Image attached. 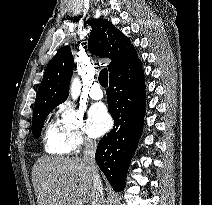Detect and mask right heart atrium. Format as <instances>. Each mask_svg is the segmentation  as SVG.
I'll list each match as a JSON object with an SVG mask.
<instances>
[{"label":"right heart atrium","mask_w":212,"mask_h":205,"mask_svg":"<svg viewBox=\"0 0 212 205\" xmlns=\"http://www.w3.org/2000/svg\"><path fill=\"white\" fill-rule=\"evenodd\" d=\"M60 125L64 136L72 151H79L83 146H90L94 142L88 134L84 113L70 104L59 108Z\"/></svg>","instance_id":"d8ad5b80"}]
</instances>
